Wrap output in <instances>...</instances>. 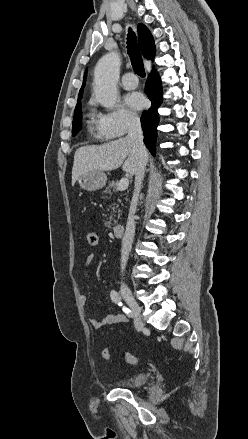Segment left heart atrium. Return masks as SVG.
<instances>
[{"mask_svg": "<svg viewBox=\"0 0 248 439\" xmlns=\"http://www.w3.org/2000/svg\"><path fill=\"white\" fill-rule=\"evenodd\" d=\"M126 103L134 110H141L145 106L146 100L143 94L133 92L126 96Z\"/></svg>", "mask_w": 248, "mask_h": 439, "instance_id": "39dd6f15", "label": "left heart atrium"}]
</instances>
